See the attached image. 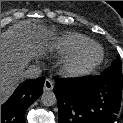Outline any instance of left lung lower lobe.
Here are the masks:
<instances>
[{
  "instance_id": "0a47b994",
  "label": "left lung lower lobe",
  "mask_w": 123,
  "mask_h": 123,
  "mask_svg": "<svg viewBox=\"0 0 123 123\" xmlns=\"http://www.w3.org/2000/svg\"><path fill=\"white\" fill-rule=\"evenodd\" d=\"M123 81L104 75L75 81L56 80L59 123H114Z\"/></svg>"
}]
</instances>
